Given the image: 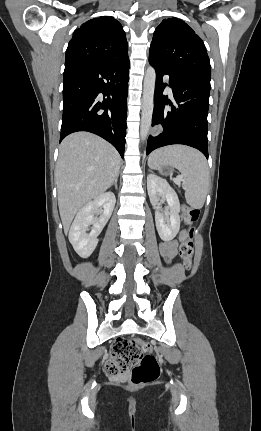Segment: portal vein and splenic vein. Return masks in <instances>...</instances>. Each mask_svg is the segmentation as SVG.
I'll use <instances>...</instances> for the list:
<instances>
[{"mask_svg":"<svg viewBox=\"0 0 261 431\" xmlns=\"http://www.w3.org/2000/svg\"><path fill=\"white\" fill-rule=\"evenodd\" d=\"M181 180H182V178H181V177H178V178L174 179V182H175L176 184H180Z\"/></svg>","mask_w":261,"mask_h":431,"instance_id":"18ae733b","label":"portal vein and splenic vein"}]
</instances>
